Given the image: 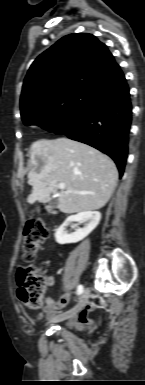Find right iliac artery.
Wrapping results in <instances>:
<instances>
[{
	"label": "right iliac artery",
	"instance_id": "1",
	"mask_svg": "<svg viewBox=\"0 0 145 385\" xmlns=\"http://www.w3.org/2000/svg\"><path fill=\"white\" fill-rule=\"evenodd\" d=\"M82 292H83V286H82V285H79V286L77 287V294L80 295V294H82Z\"/></svg>",
	"mask_w": 145,
	"mask_h": 385
}]
</instances>
